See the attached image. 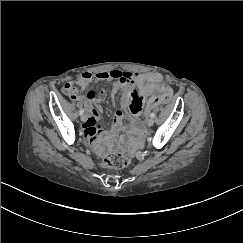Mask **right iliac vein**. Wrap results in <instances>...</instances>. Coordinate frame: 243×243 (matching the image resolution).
Instances as JSON below:
<instances>
[{
  "mask_svg": "<svg viewBox=\"0 0 243 243\" xmlns=\"http://www.w3.org/2000/svg\"><path fill=\"white\" fill-rule=\"evenodd\" d=\"M86 119H87L86 115H85V114H83V115L81 116V121L85 122V121H86Z\"/></svg>",
  "mask_w": 243,
  "mask_h": 243,
  "instance_id": "right-iliac-vein-1",
  "label": "right iliac vein"
}]
</instances>
